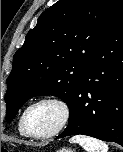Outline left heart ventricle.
I'll use <instances>...</instances> for the list:
<instances>
[{"label": "left heart ventricle", "mask_w": 123, "mask_h": 152, "mask_svg": "<svg viewBox=\"0 0 123 152\" xmlns=\"http://www.w3.org/2000/svg\"><path fill=\"white\" fill-rule=\"evenodd\" d=\"M62 113L53 103H41L34 106L27 115V126L35 134H46L60 123Z\"/></svg>", "instance_id": "obj_1"}]
</instances>
